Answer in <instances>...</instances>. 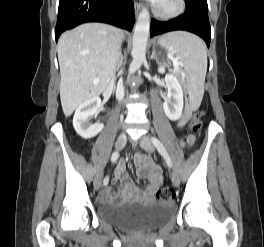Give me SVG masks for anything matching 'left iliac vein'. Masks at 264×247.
Returning a JSON list of instances; mask_svg holds the SVG:
<instances>
[{
	"mask_svg": "<svg viewBox=\"0 0 264 247\" xmlns=\"http://www.w3.org/2000/svg\"><path fill=\"white\" fill-rule=\"evenodd\" d=\"M139 145L146 151L148 152H153L154 151V146L150 139L147 136H143L141 140L139 141ZM171 180L172 183L175 187H178L180 184V179L178 174L173 170L171 171Z\"/></svg>",
	"mask_w": 264,
	"mask_h": 247,
	"instance_id": "1",
	"label": "left iliac vein"
}]
</instances>
